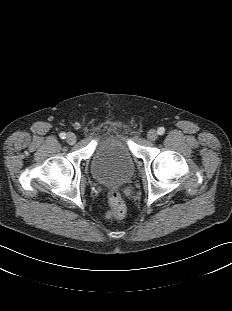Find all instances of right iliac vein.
Here are the masks:
<instances>
[{
  "instance_id": "right-iliac-vein-1",
  "label": "right iliac vein",
  "mask_w": 232,
  "mask_h": 311,
  "mask_svg": "<svg viewBox=\"0 0 232 311\" xmlns=\"http://www.w3.org/2000/svg\"><path fill=\"white\" fill-rule=\"evenodd\" d=\"M66 141L68 144H74L76 142V136L73 133H68L66 136Z\"/></svg>"
}]
</instances>
